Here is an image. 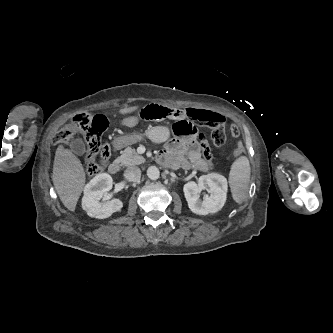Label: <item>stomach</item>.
I'll return each instance as SVG.
<instances>
[{"instance_id":"obj_1","label":"stomach","mask_w":333,"mask_h":333,"mask_svg":"<svg viewBox=\"0 0 333 333\" xmlns=\"http://www.w3.org/2000/svg\"><path fill=\"white\" fill-rule=\"evenodd\" d=\"M146 137L156 143H163L167 141L170 137V130L165 126H155L151 127L146 132ZM143 139V135L139 133H127L124 135H119L114 138V145L118 147L127 146Z\"/></svg>"}]
</instances>
